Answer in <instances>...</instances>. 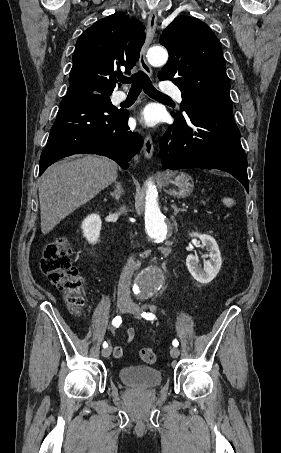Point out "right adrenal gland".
Listing matches in <instances>:
<instances>
[{"instance_id":"2a0ac1e0","label":"right adrenal gland","mask_w":281,"mask_h":453,"mask_svg":"<svg viewBox=\"0 0 281 453\" xmlns=\"http://www.w3.org/2000/svg\"><path fill=\"white\" fill-rule=\"evenodd\" d=\"M114 182H115V188H114V190H111V194H112L113 198H115V200H117V202H119L120 196H122V194H124V190L122 188L121 182H117V180H114Z\"/></svg>"}]
</instances>
